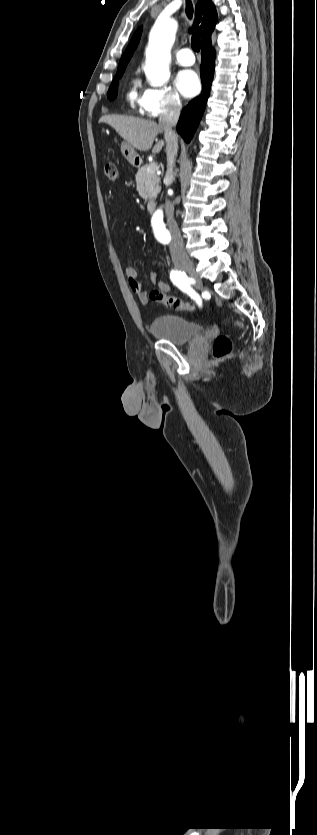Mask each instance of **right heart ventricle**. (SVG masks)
I'll return each mask as SVG.
<instances>
[{
  "instance_id": "1",
  "label": "right heart ventricle",
  "mask_w": 317,
  "mask_h": 835,
  "mask_svg": "<svg viewBox=\"0 0 317 835\" xmlns=\"http://www.w3.org/2000/svg\"><path fill=\"white\" fill-rule=\"evenodd\" d=\"M141 96L142 95L138 93V81L132 80L127 92V100L130 104L139 103Z\"/></svg>"
}]
</instances>
